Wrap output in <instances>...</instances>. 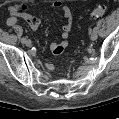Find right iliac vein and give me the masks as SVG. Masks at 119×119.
Instances as JSON below:
<instances>
[{
	"instance_id": "right-iliac-vein-1",
	"label": "right iliac vein",
	"mask_w": 119,
	"mask_h": 119,
	"mask_svg": "<svg viewBox=\"0 0 119 119\" xmlns=\"http://www.w3.org/2000/svg\"><path fill=\"white\" fill-rule=\"evenodd\" d=\"M24 44H25L26 46H30V45H31V41L28 40V39H26L25 42H24Z\"/></svg>"
}]
</instances>
